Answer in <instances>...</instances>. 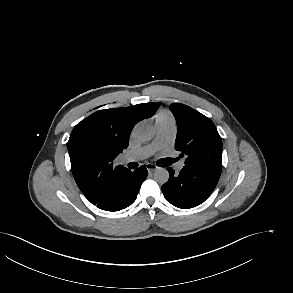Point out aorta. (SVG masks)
Listing matches in <instances>:
<instances>
[{
    "label": "aorta",
    "instance_id": "obj_1",
    "mask_svg": "<svg viewBox=\"0 0 293 293\" xmlns=\"http://www.w3.org/2000/svg\"><path fill=\"white\" fill-rule=\"evenodd\" d=\"M133 137L138 142H147L154 137V130L149 124L140 123L133 129ZM154 179L160 184H164L169 179V173L165 168H158L154 172Z\"/></svg>",
    "mask_w": 293,
    "mask_h": 293
}]
</instances>
